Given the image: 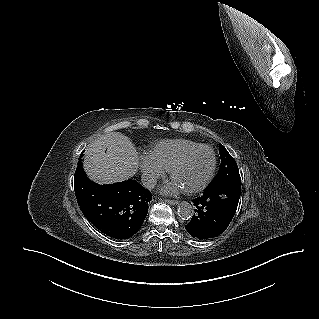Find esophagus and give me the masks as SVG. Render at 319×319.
Returning <instances> with one entry per match:
<instances>
[{
  "label": "esophagus",
  "mask_w": 319,
  "mask_h": 319,
  "mask_svg": "<svg viewBox=\"0 0 319 319\" xmlns=\"http://www.w3.org/2000/svg\"><path fill=\"white\" fill-rule=\"evenodd\" d=\"M165 202H167V203L170 204V205H177V204H178V201H176V200H170V199H165Z\"/></svg>",
  "instance_id": "obj_1"
}]
</instances>
